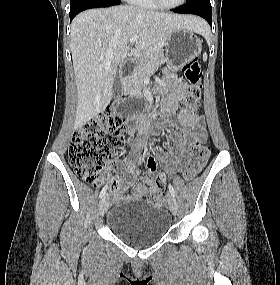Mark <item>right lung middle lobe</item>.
I'll return each instance as SVG.
<instances>
[{"label": "right lung middle lobe", "instance_id": "1", "mask_svg": "<svg viewBox=\"0 0 280 285\" xmlns=\"http://www.w3.org/2000/svg\"><path fill=\"white\" fill-rule=\"evenodd\" d=\"M79 1H81V0H70V5H74V4L78 3Z\"/></svg>", "mask_w": 280, "mask_h": 285}]
</instances>
